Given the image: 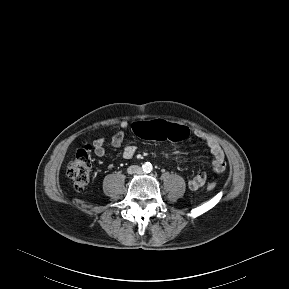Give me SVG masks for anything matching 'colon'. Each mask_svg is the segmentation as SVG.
Segmentation results:
<instances>
[{
  "instance_id": "obj_1",
  "label": "colon",
  "mask_w": 289,
  "mask_h": 289,
  "mask_svg": "<svg viewBox=\"0 0 289 289\" xmlns=\"http://www.w3.org/2000/svg\"><path fill=\"white\" fill-rule=\"evenodd\" d=\"M133 133L137 137L171 141H181L189 135L187 128L171 124L168 120L163 119L137 120L133 124ZM90 151V146L79 149L75 158L67 166V177L77 191L84 190L89 182L91 172ZM216 186V182L210 181L207 184V189L214 190Z\"/></svg>"
}]
</instances>
